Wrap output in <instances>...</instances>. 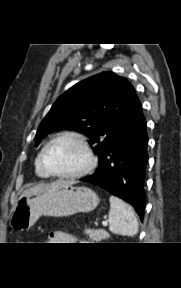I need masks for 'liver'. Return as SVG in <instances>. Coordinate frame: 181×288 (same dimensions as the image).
<instances>
[{
	"label": "liver",
	"mask_w": 181,
	"mask_h": 288,
	"mask_svg": "<svg viewBox=\"0 0 181 288\" xmlns=\"http://www.w3.org/2000/svg\"><path fill=\"white\" fill-rule=\"evenodd\" d=\"M58 182L63 183V184H74V183H75V182H73V181H58ZM48 185H49V184H38V185H35V186H33V187L25 190V191L23 192V194L21 195V197L24 196V195H27V194H32V193H37V192H39V191H42V190H44Z\"/></svg>",
	"instance_id": "1"
}]
</instances>
